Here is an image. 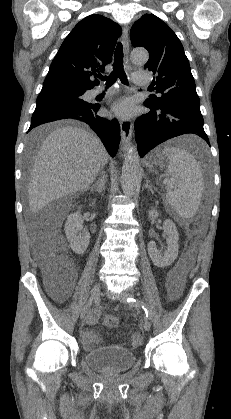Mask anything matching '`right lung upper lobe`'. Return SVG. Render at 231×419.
Instances as JSON below:
<instances>
[{
    "mask_svg": "<svg viewBox=\"0 0 231 419\" xmlns=\"http://www.w3.org/2000/svg\"><path fill=\"white\" fill-rule=\"evenodd\" d=\"M121 27L101 15L81 20L62 43L51 63L43 87L63 85L89 90L99 84L92 80L96 72L112 61Z\"/></svg>",
    "mask_w": 231,
    "mask_h": 419,
    "instance_id": "1",
    "label": "right lung upper lobe"
}]
</instances>
